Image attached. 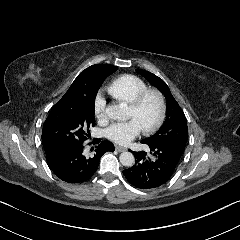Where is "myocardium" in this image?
I'll use <instances>...</instances> for the list:
<instances>
[{
  "label": "myocardium",
  "mask_w": 240,
  "mask_h": 240,
  "mask_svg": "<svg viewBox=\"0 0 240 240\" xmlns=\"http://www.w3.org/2000/svg\"><path fill=\"white\" fill-rule=\"evenodd\" d=\"M148 96H153L158 103L159 113L156 121L150 127L142 128L143 133L151 134L156 132L163 124L166 117V102L161 92L156 89H145L141 91L129 104V109L137 111Z\"/></svg>",
  "instance_id": "1"
}]
</instances>
